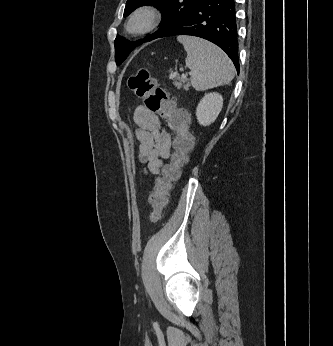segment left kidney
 <instances>
[{
  "label": "left kidney",
  "mask_w": 333,
  "mask_h": 346,
  "mask_svg": "<svg viewBox=\"0 0 333 346\" xmlns=\"http://www.w3.org/2000/svg\"><path fill=\"white\" fill-rule=\"evenodd\" d=\"M223 107V97L218 93H208L201 99L196 109L200 125L208 126L218 117Z\"/></svg>",
  "instance_id": "obj_1"
}]
</instances>
